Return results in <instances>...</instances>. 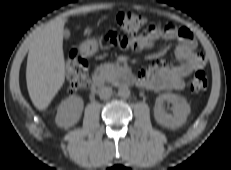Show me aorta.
<instances>
[{
  "label": "aorta",
  "instance_id": "1",
  "mask_svg": "<svg viewBox=\"0 0 231 170\" xmlns=\"http://www.w3.org/2000/svg\"><path fill=\"white\" fill-rule=\"evenodd\" d=\"M118 96L121 98H128L130 96V90L128 87H120L118 90Z\"/></svg>",
  "mask_w": 231,
  "mask_h": 170
}]
</instances>
